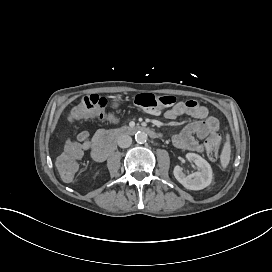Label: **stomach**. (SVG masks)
Wrapping results in <instances>:
<instances>
[{"mask_svg": "<svg viewBox=\"0 0 272 272\" xmlns=\"http://www.w3.org/2000/svg\"><path fill=\"white\" fill-rule=\"evenodd\" d=\"M118 105H119L118 99H116V102H114V103L112 104V107H113V108H117Z\"/></svg>", "mask_w": 272, "mask_h": 272, "instance_id": "obj_1", "label": "stomach"}]
</instances>
